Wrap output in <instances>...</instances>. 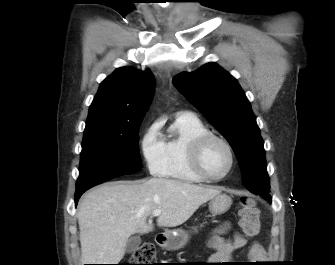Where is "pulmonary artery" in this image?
I'll list each match as a JSON object with an SVG mask.
<instances>
[{
  "label": "pulmonary artery",
  "mask_w": 335,
  "mask_h": 265,
  "mask_svg": "<svg viewBox=\"0 0 335 265\" xmlns=\"http://www.w3.org/2000/svg\"><path fill=\"white\" fill-rule=\"evenodd\" d=\"M178 115H188V116H194L193 113L191 112H188V111H182V112H179Z\"/></svg>",
  "instance_id": "1"
}]
</instances>
